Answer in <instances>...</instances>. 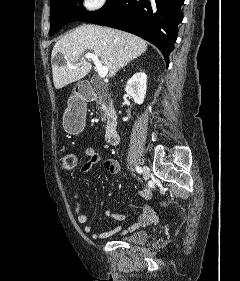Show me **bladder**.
<instances>
[{"label":"bladder","instance_id":"31cf9c89","mask_svg":"<svg viewBox=\"0 0 240 281\" xmlns=\"http://www.w3.org/2000/svg\"><path fill=\"white\" fill-rule=\"evenodd\" d=\"M147 237H148L147 232L141 230L127 235L126 237H124V240L129 243L140 244V243H144Z\"/></svg>","mask_w":240,"mask_h":281}]
</instances>
